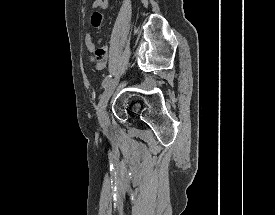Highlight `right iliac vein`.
Here are the masks:
<instances>
[{
  "label": "right iliac vein",
  "instance_id": "obj_1",
  "mask_svg": "<svg viewBox=\"0 0 275 215\" xmlns=\"http://www.w3.org/2000/svg\"><path fill=\"white\" fill-rule=\"evenodd\" d=\"M118 80L119 79L116 77L109 81V83L107 84L106 89L103 92L102 97L99 101L98 118H99L100 124L104 127L108 126V124H109V116H108L106 108H107L108 101H109L114 89L117 86Z\"/></svg>",
  "mask_w": 275,
  "mask_h": 215
}]
</instances>
